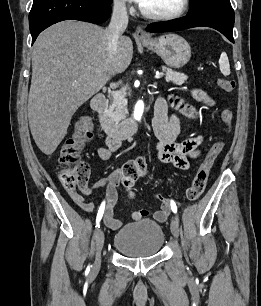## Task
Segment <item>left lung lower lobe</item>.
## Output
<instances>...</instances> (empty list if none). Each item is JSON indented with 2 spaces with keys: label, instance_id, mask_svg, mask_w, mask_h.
Returning a JSON list of instances; mask_svg holds the SVG:
<instances>
[{
  "label": "left lung lower lobe",
  "instance_id": "obj_1",
  "mask_svg": "<svg viewBox=\"0 0 261 306\" xmlns=\"http://www.w3.org/2000/svg\"><path fill=\"white\" fill-rule=\"evenodd\" d=\"M234 11L232 7L199 14H188L185 17L152 23L146 27L148 32H168L206 26L221 32L229 41L233 39Z\"/></svg>",
  "mask_w": 261,
  "mask_h": 306
}]
</instances>
